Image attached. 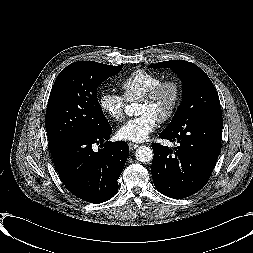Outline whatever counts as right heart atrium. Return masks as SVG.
<instances>
[{"instance_id":"d8ad5b80","label":"right heart atrium","mask_w":253,"mask_h":253,"mask_svg":"<svg viewBox=\"0 0 253 253\" xmlns=\"http://www.w3.org/2000/svg\"><path fill=\"white\" fill-rule=\"evenodd\" d=\"M98 103L104 115L112 121H120L124 117L126 100L113 91L102 92L98 98Z\"/></svg>"}]
</instances>
